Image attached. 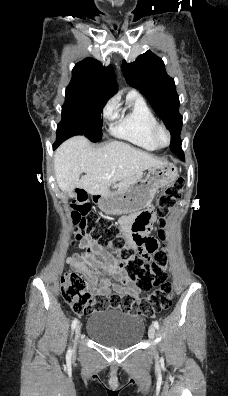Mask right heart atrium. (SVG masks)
<instances>
[{"mask_svg": "<svg viewBox=\"0 0 228 396\" xmlns=\"http://www.w3.org/2000/svg\"><path fill=\"white\" fill-rule=\"evenodd\" d=\"M115 113V103L114 101H109L106 103V105L103 108V116L105 118H112Z\"/></svg>", "mask_w": 228, "mask_h": 396, "instance_id": "1", "label": "right heart atrium"}]
</instances>
